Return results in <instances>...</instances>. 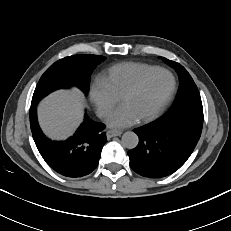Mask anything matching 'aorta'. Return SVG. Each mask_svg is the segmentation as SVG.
Instances as JSON below:
<instances>
[{
    "label": "aorta",
    "mask_w": 231,
    "mask_h": 231,
    "mask_svg": "<svg viewBox=\"0 0 231 231\" xmlns=\"http://www.w3.org/2000/svg\"><path fill=\"white\" fill-rule=\"evenodd\" d=\"M121 141L124 147L134 149L138 145L139 138L136 133L128 131L122 135Z\"/></svg>",
    "instance_id": "obj_1"
}]
</instances>
